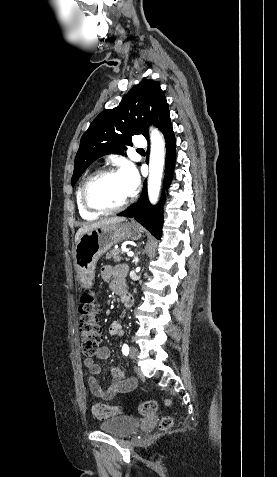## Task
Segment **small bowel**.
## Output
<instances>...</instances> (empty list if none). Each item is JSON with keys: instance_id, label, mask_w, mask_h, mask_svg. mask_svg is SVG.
I'll return each mask as SVG.
<instances>
[{"instance_id": "small-bowel-1", "label": "small bowel", "mask_w": 277, "mask_h": 477, "mask_svg": "<svg viewBox=\"0 0 277 477\" xmlns=\"http://www.w3.org/2000/svg\"><path fill=\"white\" fill-rule=\"evenodd\" d=\"M127 272L125 265H104L101 267V277L108 282L110 287L117 293L121 294L125 288L124 278ZM109 333L112 337H119L123 335V329L118 321L110 324ZM110 357V350L106 346L98 348L94 357H86L84 359V366L89 371L87 386L90 393L102 400H111L118 394H123L132 391L136 386L134 378H127L124 372L118 367L113 366L110 369L112 381L107 389L103 390L99 385L96 376L102 371L100 364L96 360H106Z\"/></svg>"}]
</instances>
